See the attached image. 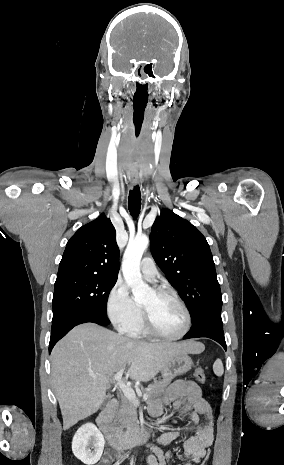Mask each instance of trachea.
<instances>
[{
    "instance_id": "trachea-1",
    "label": "trachea",
    "mask_w": 284,
    "mask_h": 465,
    "mask_svg": "<svg viewBox=\"0 0 284 465\" xmlns=\"http://www.w3.org/2000/svg\"><path fill=\"white\" fill-rule=\"evenodd\" d=\"M128 207L130 214L134 219H136L139 216L141 209V193L138 185L134 186V188L129 192Z\"/></svg>"
}]
</instances>
